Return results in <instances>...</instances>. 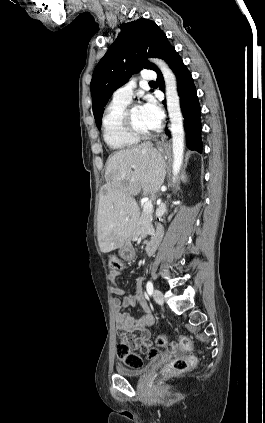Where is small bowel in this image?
Wrapping results in <instances>:
<instances>
[{
    "instance_id": "small-bowel-1",
    "label": "small bowel",
    "mask_w": 265,
    "mask_h": 423,
    "mask_svg": "<svg viewBox=\"0 0 265 423\" xmlns=\"http://www.w3.org/2000/svg\"><path fill=\"white\" fill-rule=\"evenodd\" d=\"M120 274L121 271L110 273L112 282L110 291L118 296H123L122 299L115 297L111 300L116 327L120 333L128 337L129 346L132 350H140L145 354L151 347V329L155 323V318L145 299L142 280L139 279L136 282L132 293L125 294V291L116 283ZM136 303L142 309V315L139 318H134L130 313L123 311V309L134 306Z\"/></svg>"
}]
</instances>
